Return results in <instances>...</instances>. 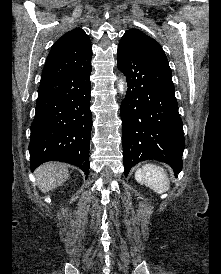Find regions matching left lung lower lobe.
<instances>
[{
    "instance_id": "0a47b994",
    "label": "left lung lower lobe",
    "mask_w": 221,
    "mask_h": 274,
    "mask_svg": "<svg viewBox=\"0 0 221 274\" xmlns=\"http://www.w3.org/2000/svg\"><path fill=\"white\" fill-rule=\"evenodd\" d=\"M117 62L128 83L120 108L124 173L148 159L179 173L185 139L171 71L121 47Z\"/></svg>"
}]
</instances>
